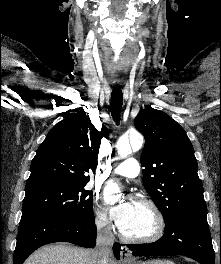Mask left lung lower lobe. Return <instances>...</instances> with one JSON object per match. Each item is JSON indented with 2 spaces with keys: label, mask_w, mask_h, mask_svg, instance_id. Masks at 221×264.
Here are the masks:
<instances>
[{
  "label": "left lung lower lobe",
  "mask_w": 221,
  "mask_h": 264,
  "mask_svg": "<svg viewBox=\"0 0 221 264\" xmlns=\"http://www.w3.org/2000/svg\"><path fill=\"white\" fill-rule=\"evenodd\" d=\"M134 256L184 255L200 264H215L207 218L165 221V234L149 244H129Z\"/></svg>",
  "instance_id": "left-lung-lower-lobe-1"
}]
</instances>
